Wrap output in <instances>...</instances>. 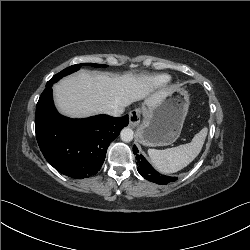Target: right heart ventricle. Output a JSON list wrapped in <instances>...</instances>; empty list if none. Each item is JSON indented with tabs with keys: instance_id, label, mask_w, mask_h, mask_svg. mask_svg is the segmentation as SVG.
Returning a JSON list of instances; mask_svg holds the SVG:
<instances>
[{
	"instance_id": "obj_1",
	"label": "right heart ventricle",
	"mask_w": 250,
	"mask_h": 250,
	"mask_svg": "<svg viewBox=\"0 0 250 250\" xmlns=\"http://www.w3.org/2000/svg\"><path fill=\"white\" fill-rule=\"evenodd\" d=\"M147 83L152 87H162L170 81L167 74H155L146 78Z\"/></svg>"
}]
</instances>
